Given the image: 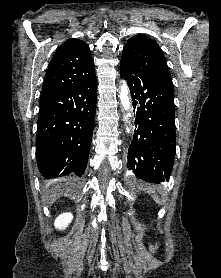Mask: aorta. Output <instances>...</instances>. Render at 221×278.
I'll use <instances>...</instances> for the list:
<instances>
[{
	"label": "aorta",
	"instance_id": "aorta-1",
	"mask_svg": "<svg viewBox=\"0 0 221 278\" xmlns=\"http://www.w3.org/2000/svg\"><path fill=\"white\" fill-rule=\"evenodd\" d=\"M120 100L123 108L128 111L130 109V97H129V89L125 81H122L121 91H120ZM126 117H131V113H127ZM127 133L130 132V128H126Z\"/></svg>",
	"mask_w": 221,
	"mask_h": 278
}]
</instances>
